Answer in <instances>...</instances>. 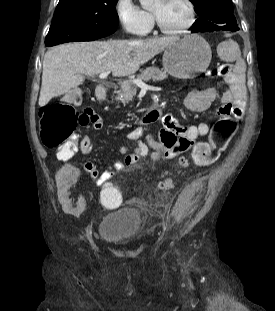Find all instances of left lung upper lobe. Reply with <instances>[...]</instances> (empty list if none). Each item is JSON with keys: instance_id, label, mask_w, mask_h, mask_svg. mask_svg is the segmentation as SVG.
I'll return each instance as SVG.
<instances>
[{"instance_id": "obj_1", "label": "left lung upper lobe", "mask_w": 275, "mask_h": 311, "mask_svg": "<svg viewBox=\"0 0 275 311\" xmlns=\"http://www.w3.org/2000/svg\"><path fill=\"white\" fill-rule=\"evenodd\" d=\"M196 7L199 19L192 25L196 31L218 29L237 31L239 27L233 15L231 0H190Z\"/></svg>"}]
</instances>
